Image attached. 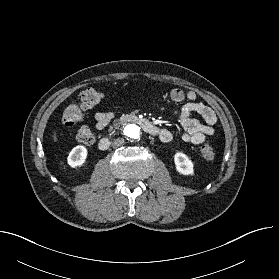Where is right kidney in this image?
Returning a JSON list of instances; mask_svg holds the SVG:
<instances>
[{
  "label": "right kidney",
  "instance_id": "ca27d5eb",
  "mask_svg": "<svg viewBox=\"0 0 279 279\" xmlns=\"http://www.w3.org/2000/svg\"><path fill=\"white\" fill-rule=\"evenodd\" d=\"M87 154L88 151L86 147L82 145L74 147L67 158L69 166L72 168L82 166L86 161Z\"/></svg>",
  "mask_w": 279,
  "mask_h": 279
}]
</instances>
